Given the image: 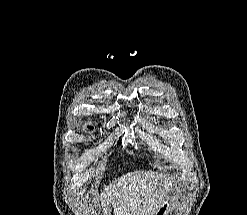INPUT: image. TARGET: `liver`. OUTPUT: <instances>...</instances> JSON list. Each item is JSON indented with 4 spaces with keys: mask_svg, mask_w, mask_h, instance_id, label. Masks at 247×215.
Listing matches in <instances>:
<instances>
[{
    "mask_svg": "<svg viewBox=\"0 0 247 215\" xmlns=\"http://www.w3.org/2000/svg\"><path fill=\"white\" fill-rule=\"evenodd\" d=\"M166 178L167 175L153 171H135L119 177L101 192L104 215H110V205L114 215H153L169 191L171 182H166Z\"/></svg>",
    "mask_w": 247,
    "mask_h": 215,
    "instance_id": "obj_1",
    "label": "liver"
}]
</instances>
